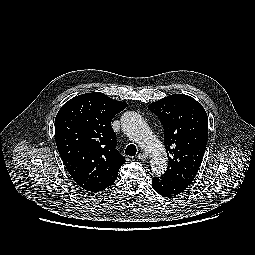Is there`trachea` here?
Returning a JSON list of instances; mask_svg holds the SVG:
<instances>
[{"mask_svg":"<svg viewBox=\"0 0 255 255\" xmlns=\"http://www.w3.org/2000/svg\"><path fill=\"white\" fill-rule=\"evenodd\" d=\"M136 152H137L136 146L133 144L128 145L125 150V154L129 156H135Z\"/></svg>","mask_w":255,"mask_h":255,"instance_id":"obj_1","label":"trachea"}]
</instances>
